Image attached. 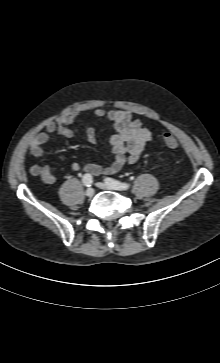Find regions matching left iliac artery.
Returning <instances> with one entry per match:
<instances>
[{"instance_id":"left-iliac-artery-1","label":"left iliac artery","mask_w":220,"mask_h":363,"mask_svg":"<svg viewBox=\"0 0 220 363\" xmlns=\"http://www.w3.org/2000/svg\"><path fill=\"white\" fill-rule=\"evenodd\" d=\"M105 183L120 190H127L130 187L128 183L120 182L112 178H105Z\"/></svg>"}]
</instances>
